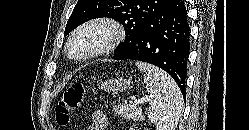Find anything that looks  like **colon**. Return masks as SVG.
I'll return each instance as SVG.
<instances>
[{"label": "colon", "instance_id": "obj_1", "mask_svg": "<svg viewBox=\"0 0 249 130\" xmlns=\"http://www.w3.org/2000/svg\"><path fill=\"white\" fill-rule=\"evenodd\" d=\"M85 91L82 83H74L62 94L55 107V118L58 125L67 126L69 124L71 114L80 106Z\"/></svg>", "mask_w": 249, "mask_h": 130}]
</instances>
